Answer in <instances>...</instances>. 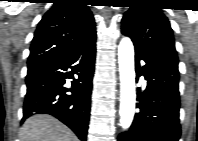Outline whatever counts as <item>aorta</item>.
<instances>
[{
	"label": "aorta",
	"mask_w": 198,
	"mask_h": 141,
	"mask_svg": "<svg viewBox=\"0 0 198 141\" xmlns=\"http://www.w3.org/2000/svg\"><path fill=\"white\" fill-rule=\"evenodd\" d=\"M118 63L120 73V126L126 130L133 121L136 103L134 47L128 37H123L119 43Z\"/></svg>",
	"instance_id": "762f6f07"
}]
</instances>
